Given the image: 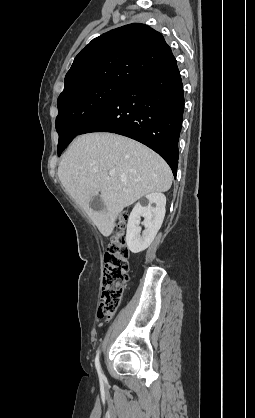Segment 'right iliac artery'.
Returning a JSON list of instances; mask_svg holds the SVG:
<instances>
[{
	"label": "right iliac artery",
	"mask_w": 255,
	"mask_h": 418,
	"mask_svg": "<svg viewBox=\"0 0 255 418\" xmlns=\"http://www.w3.org/2000/svg\"><path fill=\"white\" fill-rule=\"evenodd\" d=\"M99 353H100V351L98 350L96 358H95V366H96V369H97L100 380H104L105 377L102 373V370H101V367H100V362H99Z\"/></svg>",
	"instance_id": "1"
}]
</instances>
